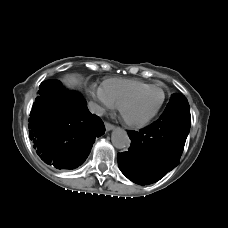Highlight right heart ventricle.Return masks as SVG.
Instances as JSON below:
<instances>
[{
	"label": "right heart ventricle",
	"instance_id": "e07e8e85",
	"mask_svg": "<svg viewBox=\"0 0 228 228\" xmlns=\"http://www.w3.org/2000/svg\"><path fill=\"white\" fill-rule=\"evenodd\" d=\"M150 86V84L137 79L110 78L102 83L101 90L114 106L131 93Z\"/></svg>",
	"mask_w": 228,
	"mask_h": 228
}]
</instances>
